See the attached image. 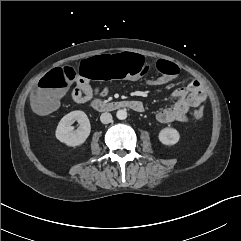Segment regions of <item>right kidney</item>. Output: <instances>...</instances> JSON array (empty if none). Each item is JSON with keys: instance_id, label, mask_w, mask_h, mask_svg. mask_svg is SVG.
Segmentation results:
<instances>
[{"instance_id": "right-kidney-1", "label": "right kidney", "mask_w": 241, "mask_h": 241, "mask_svg": "<svg viewBox=\"0 0 241 241\" xmlns=\"http://www.w3.org/2000/svg\"><path fill=\"white\" fill-rule=\"evenodd\" d=\"M74 121H78L79 128L74 130L71 126ZM91 125L87 115L83 111H72L65 115L59 122L55 136L70 147L82 145L90 135Z\"/></svg>"}]
</instances>
